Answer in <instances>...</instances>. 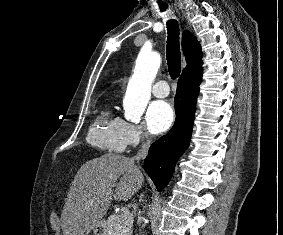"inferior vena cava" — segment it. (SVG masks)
<instances>
[{
  "instance_id": "602c4592",
  "label": "inferior vena cava",
  "mask_w": 283,
  "mask_h": 235,
  "mask_svg": "<svg viewBox=\"0 0 283 235\" xmlns=\"http://www.w3.org/2000/svg\"><path fill=\"white\" fill-rule=\"evenodd\" d=\"M146 140L142 142L141 149L138 153L132 158L133 160H143L146 158L149 150V146L151 143V139L149 135H145Z\"/></svg>"
}]
</instances>
